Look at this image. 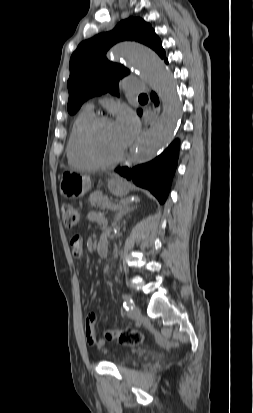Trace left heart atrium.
I'll use <instances>...</instances> for the list:
<instances>
[{
  "label": "left heart atrium",
  "mask_w": 253,
  "mask_h": 413,
  "mask_svg": "<svg viewBox=\"0 0 253 413\" xmlns=\"http://www.w3.org/2000/svg\"><path fill=\"white\" fill-rule=\"evenodd\" d=\"M114 127L123 147H126L138 132L137 119L127 109H123L118 113Z\"/></svg>",
  "instance_id": "obj_1"
}]
</instances>
